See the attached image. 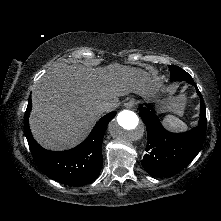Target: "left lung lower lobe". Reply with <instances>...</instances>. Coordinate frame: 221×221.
Segmentation results:
<instances>
[{
  "mask_svg": "<svg viewBox=\"0 0 221 221\" xmlns=\"http://www.w3.org/2000/svg\"><path fill=\"white\" fill-rule=\"evenodd\" d=\"M186 82L195 86L201 99L199 125L192 130L171 133L162 126L152 105L140 109L148 137V154L144 155L141 163L152 176L166 177L180 172L197 156L203 145L207 124L205 104L193 79Z\"/></svg>",
  "mask_w": 221,
  "mask_h": 221,
  "instance_id": "left-lung-lower-lobe-1",
  "label": "left lung lower lobe"
}]
</instances>
